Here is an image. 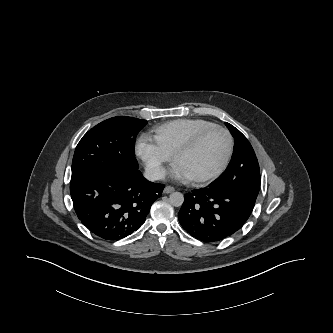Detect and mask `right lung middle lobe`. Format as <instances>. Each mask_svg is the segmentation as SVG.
<instances>
[{
    "instance_id": "right-lung-middle-lobe-1",
    "label": "right lung middle lobe",
    "mask_w": 333,
    "mask_h": 333,
    "mask_svg": "<svg viewBox=\"0 0 333 333\" xmlns=\"http://www.w3.org/2000/svg\"><path fill=\"white\" fill-rule=\"evenodd\" d=\"M146 124V120L117 116L93 127L76 147L71 180L92 173L124 175L137 170L135 140Z\"/></svg>"
}]
</instances>
